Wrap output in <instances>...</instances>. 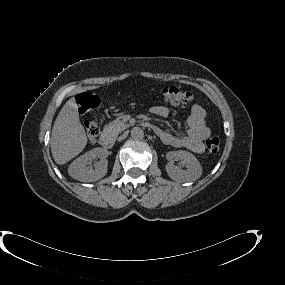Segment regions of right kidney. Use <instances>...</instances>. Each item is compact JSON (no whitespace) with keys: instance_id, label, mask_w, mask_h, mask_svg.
Returning <instances> with one entry per match:
<instances>
[{"instance_id":"right-kidney-1","label":"right kidney","mask_w":285,"mask_h":285,"mask_svg":"<svg viewBox=\"0 0 285 285\" xmlns=\"http://www.w3.org/2000/svg\"><path fill=\"white\" fill-rule=\"evenodd\" d=\"M107 155L106 149L95 148L75 159L68 168L69 175L79 181L93 182L103 178L107 173L108 162L105 159ZM96 157L100 161L94 165V169L90 164Z\"/></svg>"}]
</instances>
